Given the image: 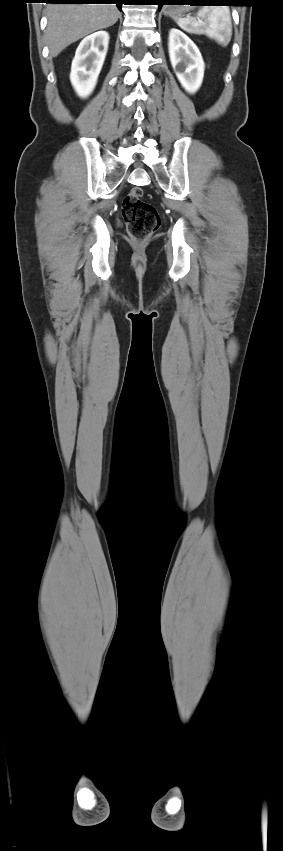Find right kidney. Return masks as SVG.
<instances>
[{"instance_id":"ca27d5eb","label":"right kidney","mask_w":283,"mask_h":851,"mask_svg":"<svg viewBox=\"0 0 283 851\" xmlns=\"http://www.w3.org/2000/svg\"><path fill=\"white\" fill-rule=\"evenodd\" d=\"M109 43V34L98 31L85 37L72 61L70 80L76 93L85 98L94 90Z\"/></svg>"}]
</instances>
